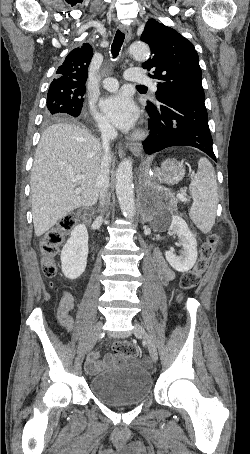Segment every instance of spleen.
<instances>
[{"label":"spleen","mask_w":250,"mask_h":454,"mask_svg":"<svg viewBox=\"0 0 250 454\" xmlns=\"http://www.w3.org/2000/svg\"><path fill=\"white\" fill-rule=\"evenodd\" d=\"M193 204L189 216L203 233L212 229L218 204V188L215 171L208 159L202 157L198 171L189 186Z\"/></svg>","instance_id":"spleen-1"}]
</instances>
